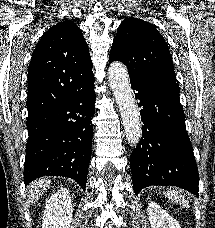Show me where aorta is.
<instances>
[{"instance_id":"762f6f07","label":"aorta","mask_w":215,"mask_h":228,"mask_svg":"<svg viewBox=\"0 0 215 228\" xmlns=\"http://www.w3.org/2000/svg\"><path fill=\"white\" fill-rule=\"evenodd\" d=\"M108 80L124 126L128 144L137 146L142 136L141 116L137 110L128 70L124 64H111Z\"/></svg>"}]
</instances>
